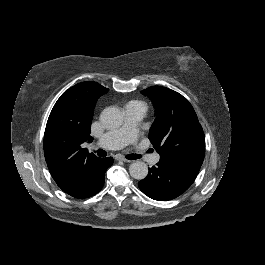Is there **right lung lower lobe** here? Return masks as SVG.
<instances>
[{
	"label": "right lung lower lobe",
	"instance_id": "right-lung-lower-lobe-1",
	"mask_svg": "<svg viewBox=\"0 0 265 265\" xmlns=\"http://www.w3.org/2000/svg\"><path fill=\"white\" fill-rule=\"evenodd\" d=\"M112 157L103 158L100 162V168L92 177L90 182L82 183L76 188L67 191L66 193L74 198H88L98 193L104 185V175L108 167L113 164Z\"/></svg>",
	"mask_w": 265,
	"mask_h": 265
}]
</instances>
